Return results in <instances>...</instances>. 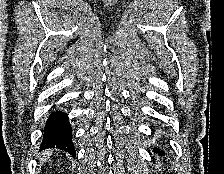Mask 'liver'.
I'll return each instance as SVG.
<instances>
[{"label": "liver", "mask_w": 224, "mask_h": 174, "mask_svg": "<svg viewBox=\"0 0 224 174\" xmlns=\"http://www.w3.org/2000/svg\"><path fill=\"white\" fill-rule=\"evenodd\" d=\"M51 151L50 150H47V151H45L44 153H43V157H42V159L44 160V159H46L48 156H50L51 155Z\"/></svg>", "instance_id": "liver-1"}]
</instances>
